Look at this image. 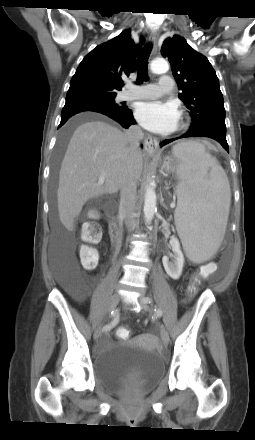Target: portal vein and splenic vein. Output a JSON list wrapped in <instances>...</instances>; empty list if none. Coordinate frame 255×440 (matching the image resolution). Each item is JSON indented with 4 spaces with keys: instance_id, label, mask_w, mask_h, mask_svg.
Returning <instances> with one entry per match:
<instances>
[{
    "instance_id": "portal-vein-and-splenic-vein-1",
    "label": "portal vein and splenic vein",
    "mask_w": 255,
    "mask_h": 440,
    "mask_svg": "<svg viewBox=\"0 0 255 440\" xmlns=\"http://www.w3.org/2000/svg\"><path fill=\"white\" fill-rule=\"evenodd\" d=\"M104 179H105V173H102L99 178V183L102 184L104 182Z\"/></svg>"
}]
</instances>
